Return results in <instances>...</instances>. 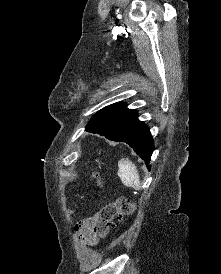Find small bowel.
<instances>
[{
  "label": "small bowel",
  "mask_w": 221,
  "mask_h": 274,
  "mask_svg": "<svg viewBox=\"0 0 221 274\" xmlns=\"http://www.w3.org/2000/svg\"><path fill=\"white\" fill-rule=\"evenodd\" d=\"M99 215L87 218L75 227L78 240L81 244H88L90 246H95L99 240V234L97 231L99 223Z\"/></svg>",
  "instance_id": "c3829d8e"
}]
</instances>
